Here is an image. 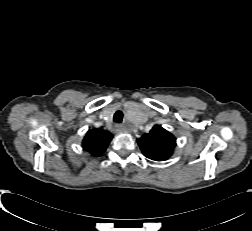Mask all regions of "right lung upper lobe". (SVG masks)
<instances>
[{
    "label": "right lung upper lobe",
    "instance_id": "cb5924a9",
    "mask_svg": "<svg viewBox=\"0 0 252 231\" xmlns=\"http://www.w3.org/2000/svg\"><path fill=\"white\" fill-rule=\"evenodd\" d=\"M112 138L113 135L106 130L92 129L87 132L83 147L93 156H100L105 152Z\"/></svg>",
    "mask_w": 252,
    "mask_h": 231
}]
</instances>
